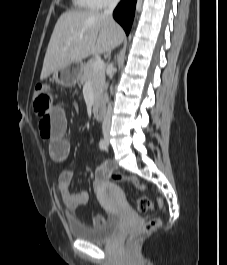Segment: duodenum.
Returning a JSON list of instances; mask_svg holds the SVG:
<instances>
[{
  "mask_svg": "<svg viewBox=\"0 0 227 265\" xmlns=\"http://www.w3.org/2000/svg\"><path fill=\"white\" fill-rule=\"evenodd\" d=\"M93 115L97 120H101L104 117V105L101 101H97L92 108Z\"/></svg>",
  "mask_w": 227,
  "mask_h": 265,
  "instance_id": "obj_1",
  "label": "duodenum"
}]
</instances>
